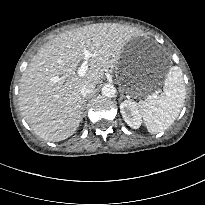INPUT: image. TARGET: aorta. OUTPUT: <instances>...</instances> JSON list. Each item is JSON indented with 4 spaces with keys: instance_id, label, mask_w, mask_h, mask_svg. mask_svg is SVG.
Segmentation results:
<instances>
[{
    "instance_id": "762f6f07",
    "label": "aorta",
    "mask_w": 205,
    "mask_h": 205,
    "mask_svg": "<svg viewBox=\"0 0 205 205\" xmlns=\"http://www.w3.org/2000/svg\"><path fill=\"white\" fill-rule=\"evenodd\" d=\"M101 93L104 97L111 98L115 95L116 88L112 84H105L102 87V92Z\"/></svg>"
}]
</instances>
